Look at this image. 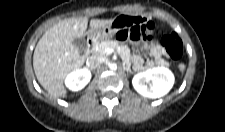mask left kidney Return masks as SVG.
I'll return each mask as SVG.
<instances>
[{
    "label": "left kidney",
    "mask_w": 225,
    "mask_h": 132,
    "mask_svg": "<svg viewBox=\"0 0 225 132\" xmlns=\"http://www.w3.org/2000/svg\"><path fill=\"white\" fill-rule=\"evenodd\" d=\"M132 84L140 95L152 99L160 98L173 87L174 75L168 68L155 67L136 74Z\"/></svg>",
    "instance_id": "5707ae66"
}]
</instances>
